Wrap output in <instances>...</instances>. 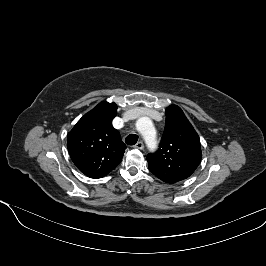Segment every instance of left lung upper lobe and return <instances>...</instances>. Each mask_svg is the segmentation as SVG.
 <instances>
[{"label": "left lung upper lobe", "mask_w": 266, "mask_h": 266, "mask_svg": "<svg viewBox=\"0 0 266 266\" xmlns=\"http://www.w3.org/2000/svg\"><path fill=\"white\" fill-rule=\"evenodd\" d=\"M200 139L182 109L170 105L159 149L147 155L151 173L166 183L190 177L201 161Z\"/></svg>", "instance_id": "5c2ea615"}]
</instances>
